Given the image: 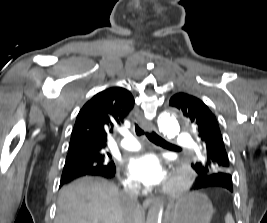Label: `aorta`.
I'll return each mask as SVG.
<instances>
[{
  "mask_svg": "<svg viewBox=\"0 0 267 223\" xmlns=\"http://www.w3.org/2000/svg\"><path fill=\"white\" fill-rule=\"evenodd\" d=\"M159 130L168 137H175L180 132L178 118L173 114H166L158 119ZM162 202L157 200L149 210L147 223L162 222Z\"/></svg>",
  "mask_w": 267,
  "mask_h": 223,
  "instance_id": "aorta-1",
  "label": "aorta"
}]
</instances>
